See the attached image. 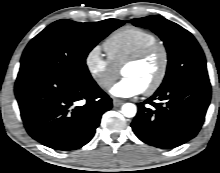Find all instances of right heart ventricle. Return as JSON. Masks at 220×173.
<instances>
[{
  "label": "right heart ventricle",
  "mask_w": 220,
  "mask_h": 173,
  "mask_svg": "<svg viewBox=\"0 0 220 173\" xmlns=\"http://www.w3.org/2000/svg\"><path fill=\"white\" fill-rule=\"evenodd\" d=\"M152 32L134 26H125L111 34L104 42L109 60L117 67L142 48L156 43Z\"/></svg>",
  "instance_id": "obj_1"
}]
</instances>
